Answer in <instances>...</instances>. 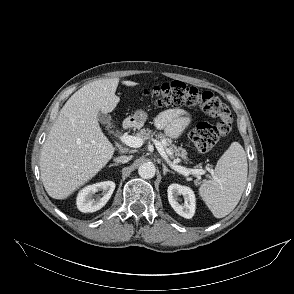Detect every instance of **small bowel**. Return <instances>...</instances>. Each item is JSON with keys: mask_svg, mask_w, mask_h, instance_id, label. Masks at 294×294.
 <instances>
[{"mask_svg": "<svg viewBox=\"0 0 294 294\" xmlns=\"http://www.w3.org/2000/svg\"><path fill=\"white\" fill-rule=\"evenodd\" d=\"M191 120V116L185 110L172 108L163 111L156 118L155 125L171 138H176L190 125Z\"/></svg>", "mask_w": 294, "mask_h": 294, "instance_id": "1", "label": "small bowel"}]
</instances>
